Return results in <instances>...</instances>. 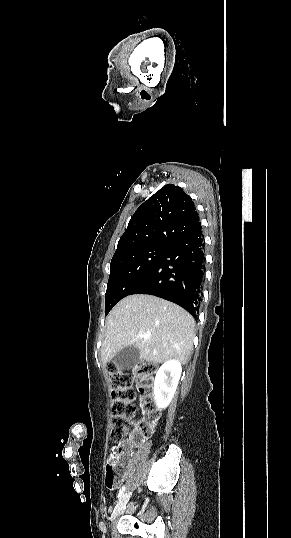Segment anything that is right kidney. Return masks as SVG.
I'll list each match as a JSON object with an SVG mask.
<instances>
[{"instance_id":"obj_1","label":"right kidney","mask_w":291,"mask_h":538,"mask_svg":"<svg viewBox=\"0 0 291 538\" xmlns=\"http://www.w3.org/2000/svg\"><path fill=\"white\" fill-rule=\"evenodd\" d=\"M182 372L181 363L170 359L163 363L154 381V398L158 409H165L171 402Z\"/></svg>"}]
</instances>
